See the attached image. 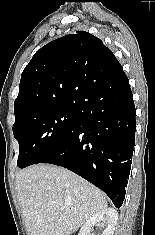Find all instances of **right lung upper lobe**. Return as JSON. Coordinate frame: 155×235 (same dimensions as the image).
<instances>
[{"mask_svg":"<svg viewBox=\"0 0 155 235\" xmlns=\"http://www.w3.org/2000/svg\"><path fill=\"white\" fill-rule=\"evenodd\" d=\"M121 64L100 39L78 31L43 46L22 72L14 102L20 114L53 105H74L97 85L115 79Z\"/></svg>","mask_w":155,"mask_h":235,"instance_id":"obj_1","label":"right lung upper lobe"}]
</instances>
